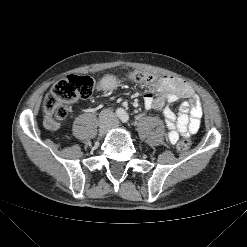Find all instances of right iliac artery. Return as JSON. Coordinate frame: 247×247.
I'll list each match as a JSON object with an SVG mask.
<instances>
[{
    "instance_id": "82829eb1",
    "label": "right iliac artery",
    "mask_w": 247,
    "mask_h": 247,
    "mask_svg": "<svg viewBox=\"0 0 247 247\" xmlns=\"http://www.w3.org/2000/svg\"><path fill=\"white\" fill-rule=\"evenodd\" d=\"M123 115V111L122 110H117V116H122Z\"/></svg>"
}]
</instances>
